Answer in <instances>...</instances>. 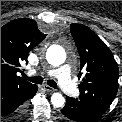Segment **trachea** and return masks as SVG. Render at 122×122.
<instances>
[{"mask_svg":"<svg viewBox=\"0 0 122 122\" xmlns=\"http://www.w3.org/2000/svg\"><path fill=\"white\" fill-rule=\"evenodd\" d=\"M25 79L29 80L30 82L32 83H35V84H41L43 82V78L41 76H35V77H28L26 76L25 74L23 75ZM47 84L50 86V87H53V88H57V84L55 81L53 80H48L47 81Z\"/></svg>","mask_w":122,"mask_h":122,"instance_id":"1","label":"trachea"}]
</instances>
